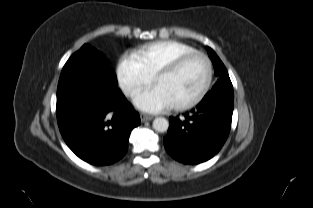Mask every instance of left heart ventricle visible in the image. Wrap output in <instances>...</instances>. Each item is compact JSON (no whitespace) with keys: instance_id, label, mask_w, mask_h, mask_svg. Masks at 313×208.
<instances>
[{"instance_id":"b2bd125f","label":"left heart ventricle","mask_w":313,"mask_h":208,"mask_svg":"<svg viewBox=\"0 0 313 208\" xmlns=\"http://www.w3.org/2000/svg\"><path fill=\"white\" fill-rule=\"evenodd\" d=\"M207 76L205 61L194 58L173 74L161 77L156 83L171 98L174 105L192 100L201 91Z\"/></svg>"}]
</instances>
